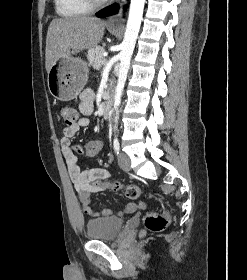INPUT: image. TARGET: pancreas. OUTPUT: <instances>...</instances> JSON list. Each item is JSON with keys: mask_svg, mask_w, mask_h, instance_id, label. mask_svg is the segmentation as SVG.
I'll return each instance as SVG.
<instances>
[{"mask_svg": "<svg viewBox=\"0 0 247 280\" xmlns=\"http://www.w3.org/2000/svg\"><path fill=\"white\" fill-rule=\"evenodd\" d=\"M104 47L95 46L89 50L87 58L90 63L95 69H99L103 64L102 61L105 59L103 56Z\"/></svg>", "mask_w": 247, "mask_h": 280, "instance_id": "obj_1", "label": "pancreas"}]
</instances>
